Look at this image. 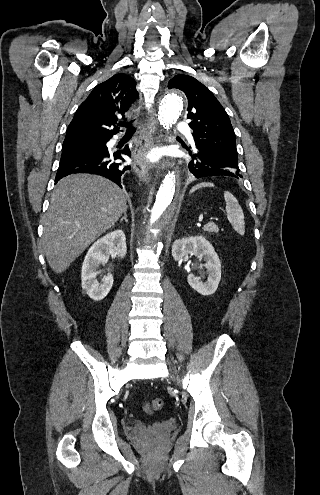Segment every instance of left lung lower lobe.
I'll use <instances>...</instances> for the list:
<instances>
[{
	"instance_id": "1",
	"label": "left lung lower lobe",
	"mask_w": 320,
	"mask_h": 495,
	"mask_svg": "<svg viewBox=\"0 0 320 495\" xmlns=\"http://www.w3.org/2000/svg\"><path fill=\"white\" fill-rule=\"evenodd\" d=\"M189 154L192 158L189 163V170L196 178L207 176L242 177L238 162H234L205 147L193 145Z\"/></svg>"
}]
</instances>
